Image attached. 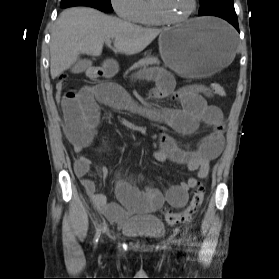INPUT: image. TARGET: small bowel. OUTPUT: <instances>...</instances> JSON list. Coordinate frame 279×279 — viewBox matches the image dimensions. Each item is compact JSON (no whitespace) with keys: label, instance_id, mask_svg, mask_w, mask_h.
<instances>
[{"label":"small bowel","instance_id":"obj_1","mask_svg":"<svg viewBox=\"0 0 279 279\" xmlns=\"http://www.w3.org/2000/svg\"><path fill=\"white\" fill-rule=\"evenodd\" d=\"M140 76L156 81L157 85L152 93L154 98L176 99L181 107H142L131 99L123 87L113 83L68 90L61 99L64 133L79 155L74 166L75 174L94 205L112 221L124 220L127 213L155 212L165 202L177 208L185 206L189 190L197 186L198 179L208 175L211 161L220 155L224 144L223 115L217 106L207 102L206 98L210 96L207 88L191 85L176 90L172 76L162 69H149ZM99 104L144 115L183 135L194 133L200 124L210 126L212 132L204 136L194 150L179 148L175 141L161 130L160 146L154 152L156 160L183 164L195 172V175L185 182L168 187L164 192L149 186L140 189L118 178L117 195L120 204L109 202L98 191L95 181L89 177L92 162L82 154L94 141L100 120ZM109 171L102 167L98 169V174L105 178Z\"/></svg>","mask_w":279,"mask_h":279}]
</instances>
